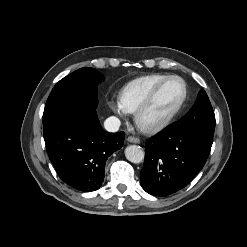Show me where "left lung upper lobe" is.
Instances as JSON below:
<instances>
[{
    "instance_id": "obj_1",
    "label": "left lung upper lobe",
    "mask_w": 247,
    "mask_h": 247,
    "mask_svg": "<svg viewBox=\"0 0 247 247\" xmlns=\"http://www.w3.org/2000/svg\"><path fill=\"white\" fill-rule=\"evenodd\" d=\"M175 125L184 131L214 134L215 115L204 90H201L191 110Z\"/></svg>"
}]
</instances>
